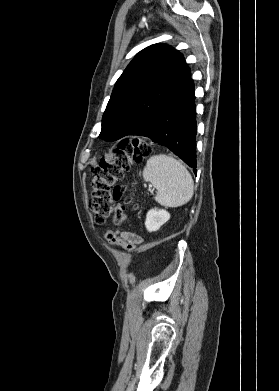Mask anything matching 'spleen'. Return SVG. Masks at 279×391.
Here are the masks:
<instances>
[{
  "label": "spleen",
  "instance_id": "1",
  "mask_svg": "<svg viewBox=\"0 0 279 391\" xmlns=\"http://www.w3.org/2000/svg\"><path fill=\"white\" fill-rule=\"evenodd\" d=\"M143 178L156 189L155 200L166 207H179L193 196L194 182L191 174L175 158L159 154L150 157L143 170Z\"/></svg>",
  "mask_w": 279,
  "mask_h": 391
}]
</instances>
